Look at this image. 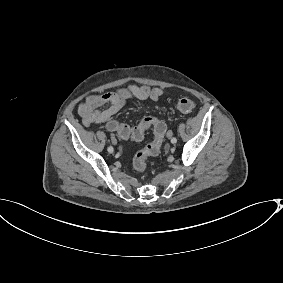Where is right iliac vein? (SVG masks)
I'll use <instances>...</instances> for the list:
<instances>
[{"instance_id": "1", "label": "right iliac vein", "mask_w": 283, "mask_h": 283, "mask_svg": "<svg viewBox=\"0 0 283 283\" xmlns=\"http://www.w3.org/2000/svg\"><path fill=\"white\" fill-rule=\"evenodd\" d=\"M112 143H113L114 145H116V144H117V140H116V138H112Z\"/></svg>"}]
</instances>
